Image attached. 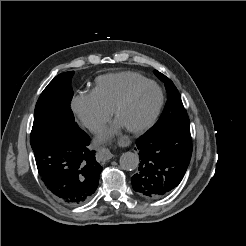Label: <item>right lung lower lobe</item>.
Returning a JSON list of instances; mask_svg holds the SVG:
<instances>
[{
    "mask_svg": "<svg viewBox=\"0 0 246 246\" xmlns=\"http://www.w3.org/2000/svg\"><path fill=\"white\" fill-rule=\"evenodd\" d=\"M88 145L89 136L76 122L70 128L54 129L32 145L39 175L65 204L89 200L98 187L102 167Z\"/></svg>",
    "mask_w": 246,
    "mask_h": 246,
    "instance_id": "obj_1",
    "label": "right lung lower lobe"
}]
</instances>
